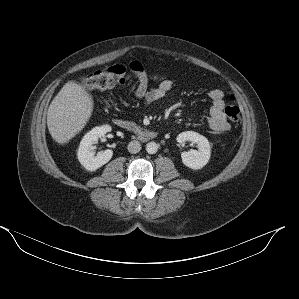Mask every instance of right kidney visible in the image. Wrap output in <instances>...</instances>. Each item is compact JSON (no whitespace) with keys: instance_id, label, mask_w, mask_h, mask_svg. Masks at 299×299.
<instances>
[{"instance_id":"right-kidney-1","label":"right kidney","mask_w":299,"mask_h":299,"mask_svg":"<svg viewBox=\"0 0 299 299\" xmlns=\"http://www.w3.org/2000/svg\"><path fill=\"white\" fill-rule=\"evenodd\" d=\"M109 131H111L109 125L98 126L90 130L81 140L77 157L88 171H96L112 158L113 151L110 149L101 151L97 155L94 152V144Z\"/></svg>"}]
</instances>
